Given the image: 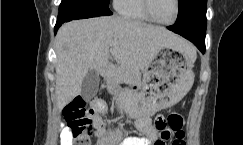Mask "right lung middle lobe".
Masks as SVG:
<instances>
[{
	"label": "right lung middle lobe",
	"instance_id": "dd1d6c3e",
	"mask_svg": "<svg viewBox=\"0 0 243 145\" xmlns=\"http://www.w3.org/2000/svg\"><path fill=\"white\" fill-rule=\"evenodd\" d=\"M93 1L99 3V4L103 5V6L109 7V0H93Z\"/></svg>",
	"mask_w": 243,
	"mask_h": 145
}]
</instances>
